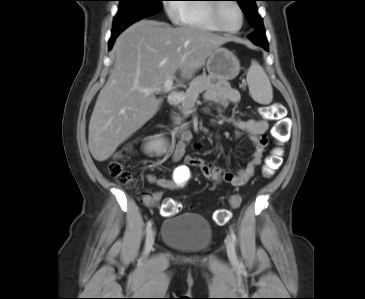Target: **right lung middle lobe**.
I'll use <instances>...</instances> for the list:
<instances>
[{
  "label": "right lung middle lobe",
  "mask_w": 365,
  "mask_h": 299,
  "mask_svg": "<svg viewBox=\"0 0 365 299\" xmlns=\"http://www.w3.org/2000/svg\"><path fill=\"white\" fill-rule=\"evenodd\" d=\"M120 6L114 23L142 19L157 14L162 9L163 0H118Z\"/></svg>",
  "instance_id": "right-lung-middle-lobe-1"
}]
</instances>
